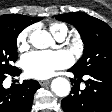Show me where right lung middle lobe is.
<instances>
[{
    "label": "right lung middle lobe",
    "mask_w": 112,
    "mask_h": 112,
    "mask_svg": "<svg viewBox=\"0 0 112 112\" xmlns=\"http://www.w3.org/2000/svg\"><path fill=\"white\" fill-rule=\"evenodd\" d=\"M27 26L28 23L18 14L7 17L0 25V77L16 69L12 62L17 60V36Z\"/></svg>",
    "instance_id": "1"
}]
</instances>
